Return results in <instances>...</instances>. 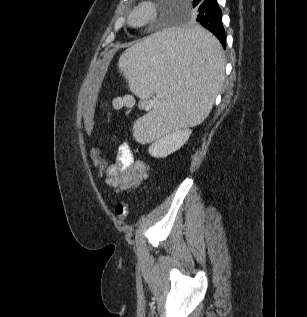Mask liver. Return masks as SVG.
<instances>
[{
	"mask_svg": "<svg viewBox=\"0 0 307 317\" xmlns=\"http://www.w3.org/2000/svg\"><path fill=\"white\" fill-rule=\"evenodd\" d=\"M116 54L115 48H109L108 53L103 55L100 63L96 64L93 74L89 75V81L86 83L85 101L81 104L83 106L82 117L84 119V127L90 128L95 117L94 109L99 100L100 90L103 87V78L106 77V72L113 61V56ZM91 133L89 130L86 132Z\"/></svg>",
	"mask_w": 307,
	"mask_h": 317,
	"instance_id": "obj_1",
	"label": "liver"
}]
</instances>
